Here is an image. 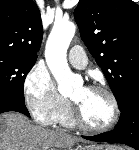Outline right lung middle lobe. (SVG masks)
I'll use <instances>...</instances> for the list:
<instances>
[{"label":"right lung middle lobe","mask_w":139,"mask_h":150,"mask_svg":"<svg viewBox=\"0 0 139 150\" xmlns=\"http://www.w3.org/2000/svg\"><path fill=\"white\" fill-rule=\"evenodd\" d=\"M36 59L0 52V94L24 99V81Z\"/></svg>","instance_id":"1"}]
</instances>
